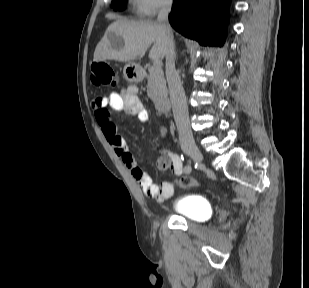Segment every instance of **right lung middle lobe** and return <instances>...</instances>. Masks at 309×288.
Wrapping results in <instances>:
<instances>
[{
	"mask_svg": "<svg viewBox=\"0 0 309 288\" xmlns=\"http://www.w3.org/2000/svg\"><path fill=\"white\" fill-rule=\"evenodd\" d=\"M126 1L127 0H112V7L115 10H122L124 9L125 5H126Z\"/></svg>",
	"mask_w": 309,
	"mask_h": 288,
	"instance_id": "1",
	"label": "right lung middle lobe"
}]
</instances>
